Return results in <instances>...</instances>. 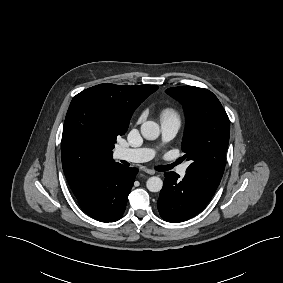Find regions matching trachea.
<instances>
[{
    "mask_svg": "<svg viewBox=\"0 0 283 283\" xmlns=\"http://www.w3.org/2000/svg\"><path fill=\"white\" fill-rule=\"evenodd\" d=\"M178 163H179V160H177L175 163L170 164V165L157 166V167H155V169H156L157 171H160V172L168 171V170L172 169V168L174 167V165H176V164H178Z\"/></svg>",
    "mask_w": 283,
    "mask_h": 283,
    "instance_id": "3493384b",
    "label": "trachea"
}]
</instances>
